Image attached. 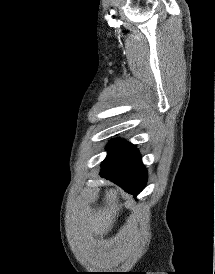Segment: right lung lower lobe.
<instances>
[{
  "label": "right lung lower lobe",
  "instance_id": "right-lung-lower-lobe-1",
  "mask_svg": "<svg viewBox=\"0 0 215 274\" xmlns=\"http://www.w3.org/2000/svg\"><path fill=\"white\" fill-rule=\"evenodd\" d=\"M100 175L122 187L136 197L146 185L147 171L141 161L138 149L132 151L121 161L110 166L102 165Z\"/></svg>",
  "mask_w": 215,
  "mask_h": 274
}]
</instances>
